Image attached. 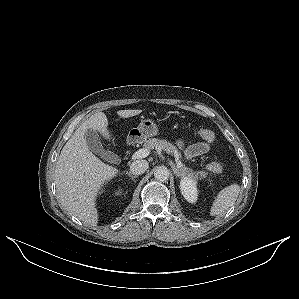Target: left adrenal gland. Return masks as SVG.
<instances>
[{"instance_id":"left-adrenal-gland-1","label":"left adrenal gland","mask_w":299,"mask_h":299,"mask_svg":"<svg viewBox=\"0 0 299 299\" xmlns=\"http://www.w3.org/2000/svg\"><path fill=\"white\" fill-rule=\"evenodd\" d=\"M174 173H175V175L178 176V177L182 175V174H181V171H180L179 169L175 168V167H174Z\"/></svg>"}]
</instances>
